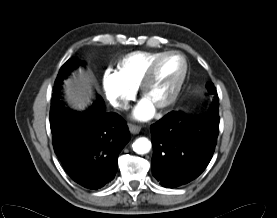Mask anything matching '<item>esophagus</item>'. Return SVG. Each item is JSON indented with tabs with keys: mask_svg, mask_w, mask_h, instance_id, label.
<instances>
[{
	"mask_svg": "<svg viewBox=\"0 0 277 218\" xmlns=\"http://www.w3.org/2000/svg\"><path fill=\"white\" fill-rule=\"evenodd\" d=\"M128 127H129V131L132 134H138L140 132V130H141L140 126L134 125V124H129Z\"/></svg>",
	"mask_w": 277,
	"mask_h": 218,
	"instance_id": "esophagus-1",
	"label": "esophagus"
}]
</instances>
